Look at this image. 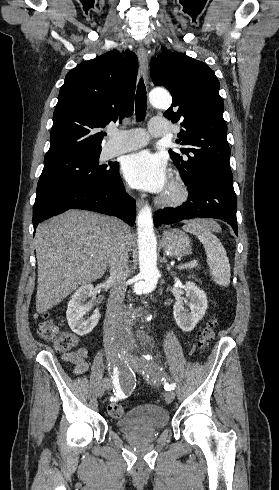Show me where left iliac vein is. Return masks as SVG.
Returning <instances> with one entry per match:
<instances>
[{
	"label": "left iliac vein",
	"mask_w": 279,
	"mask_h": 490,
	"mask_svg": "<svg viewBox=\"0 0 279 490\" xmlns=\"http://www.w3.org/2000/svg\"><path fill=\"white\" fill-rule=\"evenodd\" d=\"M139 358L141 359L142 357L140 356ZM142 363L146 365L148 368L153 369L155 371H161V374H164V371H162V367L158 363L154 362L153 359L144 358L142 360ZM174 397H175V392L173 391L167 392L165 394V400L167 404H172Z\"/></svg>",
	"instance_id": "1"
}]
</instances>
